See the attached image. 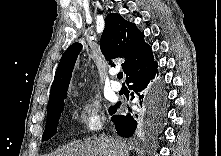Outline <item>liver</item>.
<instances>
[{"label": "liver", "instance_id": "6515ba94", "mask_svg": "<svg viewBox=\"0 0 221 156\" xmlns=\"http://www.w3.org/2000/svg\"><path fill=\"white\" fill-rule=\"evenodd\" d=\"M130 150L131 147L121 139H109V143L95 139L68 146L53 156H127Z\"/></svg>", "mask_w": 221, "mask_h": 156}]
</instances>
